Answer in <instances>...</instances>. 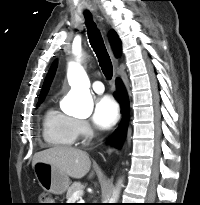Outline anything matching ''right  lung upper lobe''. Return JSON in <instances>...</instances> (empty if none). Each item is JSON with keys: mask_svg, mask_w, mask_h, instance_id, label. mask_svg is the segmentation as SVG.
Wrapping results in <instances>:
<instances>
[{"mask_svg": "<svg viewBox=\"0 0 200 205\" xmlns=\"http://www.w3.org/2000/svg\"><path fill=\"white\" fill-rule=\"evenodd\" d=\"M109 39H110V42L112 44L115 55L120 56L121 55V41H120L118 35L114 31H111L109 34ZM56 66H57V62L55 61L52 65V67L50 68L49 73L44 81L39 99L45 98V96L47 95L50 84H51V82L54 78L55 72H56Z\"/></svg>", "mask_w": 200, "mask_h": 205, "instance_id": "1", "label": "right lung upper lobe"}]
</instances>
